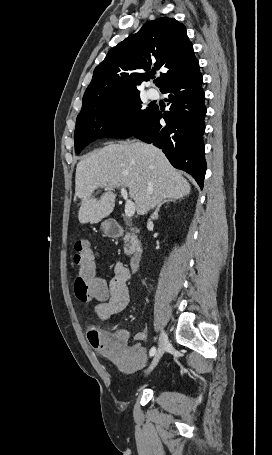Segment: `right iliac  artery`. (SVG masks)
<instances>
[{
    "label": "right iliac artery",
    "mask_w": 272,
    "mask_h": 455,
    "mask_svg": "<svg viewBox=\"0 0 272 455\" xmlns=\"http://www.w3.org/2000/svg\"><path fill=\"white\" fill-rule=\"evenodd\" d=\"M155 353H156V348H155V347H152V348L150 349V352H149L150 356H154Z\"/></svg>",
    "instance_id": "1"
}]
</instances>
